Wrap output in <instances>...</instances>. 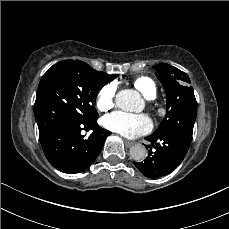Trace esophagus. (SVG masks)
Here are the masks:
<instances>
[{
  "instance_id": "esophagus-1",
  "label": "esophagus",
  "mask_w": 229,
  "mask_h": 229,
  "mask_svg": "<svg viewBox=\"0 0 229 229\" xmlns=\"http://www.w3.org/2000/svg\"><path fill=\"white\" fill-rule=\"evenodd\" d=\"M124 144H125V146L127 148H130L135 144V142L134 141H130V140H124Z\"/></svg>"
}]
</instances>
